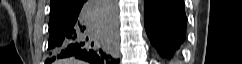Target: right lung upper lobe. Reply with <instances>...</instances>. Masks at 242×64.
<instances>
[{
	"label": "right lung upper lobe",
	"mask_w": 242,
	"mask_h": 64,
	"mask_svg": "<svg viewBox=\"0 0 242 64\" xmlns=\"http://www.w3.org/2000/svg\"><path fill=\"white\" fill-rule=\"evenodd\" d=\"M79 0H51L50 14H66L77 7Z\"/></svg>",
	"instance_id": "cb5924a9"
}]
</instances>
